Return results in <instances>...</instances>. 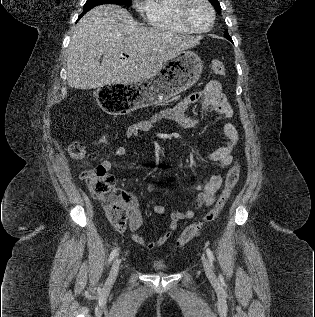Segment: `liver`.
Listing matches in <instances>:
<instances>
[{
  "mask_svg": "<svg viewBox=\"0 0 315 317\" xmlns=\"http://www.w3.org/2000/svg\"><path fill=\"white\" fill-rule=\"evenodd\" d=\"M199 43L197 37L143 26L119 6H98L74 27L67 83L75 89L136 83L155 76L166 61Z\"/></svg>",
  "mask_w": 315,
  "mask_h": 317,
  "instance_id": "6515ba94",
  "label": "liver"
}]
</instances>
